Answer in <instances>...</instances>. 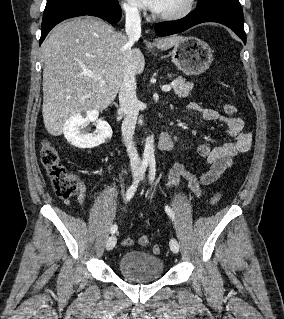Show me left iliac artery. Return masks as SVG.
I'll use <instances>...</instances> for the list:
<instances>
[{
    "label": "left iliac artery",
    "instance_id": "obj_1",
    "mask_svg": "<svg viewBox=\"0 0 284 319\" xmlns=\"http://www.w3.org/2000/svg\"><path fill=\"white\" fill-rule=\"evenodd\" d=\"M155 172H156V164H155V159L150 160V170H149V178L151 184L154 182L155 179ZM165 211L169 215V217L174 220V211L167 205L165 206Z\"/></svg>",
    "mask_w": 284,
    "mask_h": 319
}]
</instances>
